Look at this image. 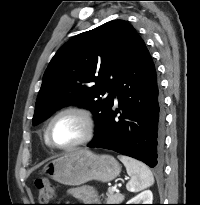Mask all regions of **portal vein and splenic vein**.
I'll use <instances>...</instances> for the list:
<instances>
[{
	"label": "portal vein and splenic vein",
	"instance_id": "1",
	"mask_svg": "<svg viewBox=\"0 0 200 205\" xmlns=\"http://www.w3.org/2000/svg\"><path fill=\"white\" fill-rule=\"evenodd\" d=\"M112 190L117 191V187L116 186L112 187Z\"/></svg>",
	"mask_w": 200,
	"mask_h": 205
}]
</instances>
